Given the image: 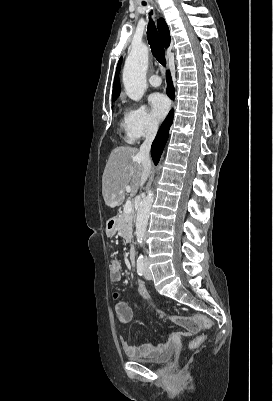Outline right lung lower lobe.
<instances>
[{"label":"right lung lower lobe","instance_id":"obj_1","mask_svg":"<svg viewBox=\"0 0 273 401\" xmlns=\"http://www.w3.org/2000/svg\"><path fill=\"white\" fill-rule=\"evenodd\" d=\"M167 94L173 99L174 98V87L172 84L171 76L167 72ZM173 122V111H170L161 128L159 129L157 136L151 147V156L155 163L158 164L164 146L169 136V129Z\"/></svg>","mask_w":273,"mask_h":401}]
</instances>
